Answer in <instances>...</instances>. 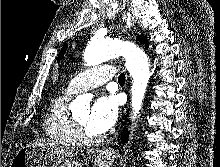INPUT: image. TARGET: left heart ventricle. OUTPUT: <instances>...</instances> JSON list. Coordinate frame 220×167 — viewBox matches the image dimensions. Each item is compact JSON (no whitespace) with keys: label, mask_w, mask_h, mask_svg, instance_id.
<instances>
[{"label":"left heart ventricle","mask_w":220,"mask_h":167,"mask_svg":"<svg viewBox=\"0 0 220 167\" xmlns=\"http://www.w3.org/2000/svg\"><path fill=\"white\" fill-rule=\"evenodd\" d=\"M88 115H89L88 109H84L75 113L76 118L83 126L85 132L90 136H96L98 134L95 133L93 130H91L90 127L88 126Z\"/></svg>","instance_id":"left-heart-ventricle-1"}]
</instances>
